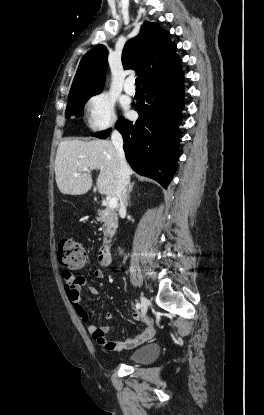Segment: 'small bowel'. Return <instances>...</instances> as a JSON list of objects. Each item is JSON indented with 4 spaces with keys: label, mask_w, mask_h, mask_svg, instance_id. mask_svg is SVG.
I'll return each instance as SVG.
<instances>
[{
    "label": "small bowel",
    "mask_w": 264,
    "mask_h": 415,
    "mask_svg": "<svg viewBox=\"0 0 264 415\" xmlns=\"http://www.w3.org/2000/svg\"><path fill=\"white\" fill-rule=\"evenodd\" d=\"M93 276L96 279H103L105 277V272L102 268L96 267L93 270ZM62 277L64 280V290L74 305L76 313L80 316L83 322H87L88 316L85 313L84 306L82 304V288L87 285L86 279L81 276H74L69 270L65 269L62 271ZM90 290L94 295L98 294V290L96 288L90 287ZM105 317L107 319H112L113 315L108 313ZM139 319V313L135 312L131 315V320L138 321ZM87 331L103 349L115 352H121L126 349L146 344L152 339L155 332L152 320H150L138 334L124 340H108L106 338V334L110 331V327L108 325L88 324Z\"/></svg>",
    "instance_id": "obj_1"
}]
</instances>
